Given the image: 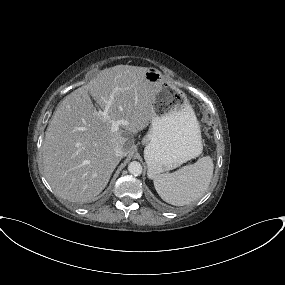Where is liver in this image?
Here are the masks:
<instances>
[{
	"mask_svg": "<svg viewBox=\"0 0 285 285\" xmlns=\"http://www.w3.org/2000/svg\"><path fill=\"white\" fill-rule=\"evenodd\" d=\"M146 72L145 67L130 65L104 69L59 103L42 146L44 175L59 197L77 203L94 200L121 160L116 148H123L125 156L131 152L132 135L153 117L156 89ZM90 96L102 110L110 103L109 116L126 124L113 132Z\"/></svg>",
	"mask_w": 285,
	"mask_h": 285,
	"instance_id": "obj_1",
	"label": "liver"
}]
</instances>
